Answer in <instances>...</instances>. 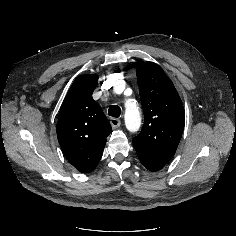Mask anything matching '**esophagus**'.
<instances>
[{
    "mask_svg": "<svg viewBox=\"0 0 236 236\" xmlns=\"http://www.w3.org/2000/svg\"><path fill=\"white\" fill-rule=\"evenodd\" d=\"M110 124L113 128H118L121 124V121L118 118H111L110 119Z\"/></svg>",
    "mask_w": 236,
    "mask_h": 236,
    "instance_id": "34e87169",
    "label": "esophagus"
}]
</instances>
